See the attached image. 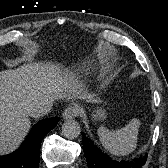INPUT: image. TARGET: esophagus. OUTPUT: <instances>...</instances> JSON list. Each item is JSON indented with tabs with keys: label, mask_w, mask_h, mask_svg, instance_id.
Here are the masks:
<instances>
[{
	"label": "esophagus",
	"mask_w": 168,
	"mask_h": 168,
	"mask_svg": "<svg viewBox=\"0 0 168 168\" xmlns=\"http://www.w3.org/2000/svg\"><path fill=\"white\" fill-rule=\"evenodd\" d=\"M81 113V108L77 105H71L67 107L63 112V118L65 120L73 119Z\"/></svg>",
	"instance_id": "esophagus-1"
}]
</instances>
